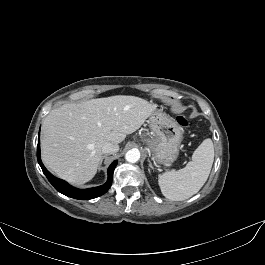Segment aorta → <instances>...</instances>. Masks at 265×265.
Wrapping results in <instances>:
<instances>
[{
	"instance_id": "762f6f07",
	"label": "aorta",
	"mask_w": 265,
	"mask_h": 265,
	"mask_svg": "<svg viewBox=\"0 0 265 265\" xmlns=\"http://www.w3.org/2000/svg\"><path fill=\"white\" fill-rule=\"evenodd\" d=\"M125 159L130 163H135L140 159V152L137 149L127 151Z\"/></svg>"
}]
</instances>
